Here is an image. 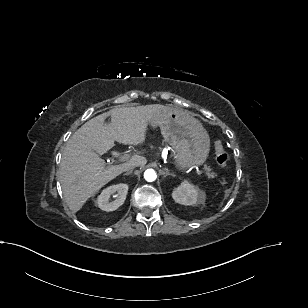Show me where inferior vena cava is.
<instances>
[{"label": "inferior vena cava", "mask_w": 308, "mask_h": 308, "mask_svg": "<svg viewBox=\"0 0 308 308\" xmlns=\"http://www.w3.org/2000/svg\"><path fill=\"white\" fill-rule=\"evenodd\" d=\"M137 166L136 164L134 163H129L127 168L125 169V171H132V169Z\"/></svg>", "instance_id": "602c4592"}]
</instances>
